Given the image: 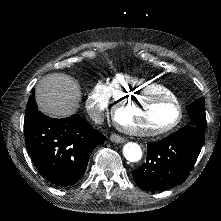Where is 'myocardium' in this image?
<instances>
[{
  "label": "myocardium",
  "mask_w": 221,
  "mask_h": 221,
  "mask_svg": "<svg viewBox=\"0 0 221 221\" xmlns=\"http://www.w3.org/2000/svg\"><path fill=\"white\" fill-rule=\"evenodd\" d=\"M171 103L173 106V116L170 121V124L163 125L161 127L152 128L150 126L145 127V129H141L140 131L137 127L132 126L129 127L121 121L119 114L121 113L122 107L124 108H139L142 107L143 103ZM183 107L179 104L178 99L175 96H170L168 94H155L151 95L146 92L140 93V95H134L130 98H122L120 101L114 103V105L108 111V118L110 119L111 126L114 129H117L118 133L122 137H133L136 139H143L146 136L157 137L162 135L165 132L170 131L171 127H176L179 125L181 116L183 114Z\"/></svg>",
  "instance_id": "myocardium-1"
}]
</instances>
